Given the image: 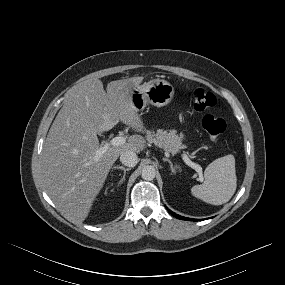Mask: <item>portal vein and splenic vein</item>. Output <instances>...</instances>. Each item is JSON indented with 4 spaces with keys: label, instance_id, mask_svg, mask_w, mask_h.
Segmentation results:
<instances>
[{
    "label": "portal vein and splenic vein",
    "instance_id": "1",
    "mask_svg": "<svg viewBox=\"0 0 285 285\" xmlns=\"http://www.w3.org/2000/svg\"><path fill=\"white\" fill-rule=\"evenodd\" d=\"M125 143H126L125 137H123V136L114 137L112 140H110L109 143H105L103 147H101L97 150L96 155H95V161H98L99 158L108 150V148L110 146H120V145H123ZM182 159L184 160V162L188 166L192 167L193 169H195L198 172L199 180L203 181L201 166L192 162L186 154H182Z\"/></svg>",
    "mask_w": 285,
    "mask_h": 285
}]
</instances>
